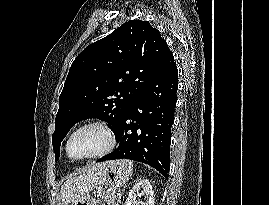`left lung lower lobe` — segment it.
Returning a JSON list of instances; mask_svg holds the SVG:
<instances>
[{
  "label": "left lung lower lobe",
  "instance_id": "1",
  "mask_svg": "<svg viewBox=\"0 0 269 205\" xmlns=\"http://www.w3.org/2000/svg\"><path fill=\"white\" fill-rule=\"evenodd\" d=\"M177 78L178 70L171 54L161 71L125 112L114 132L119 140L118 148L98 162L121 158L139 161L168 178Z\"/></svg>",
  "mask_w": 269,
  "mask_h": 205
}]
</instances>
